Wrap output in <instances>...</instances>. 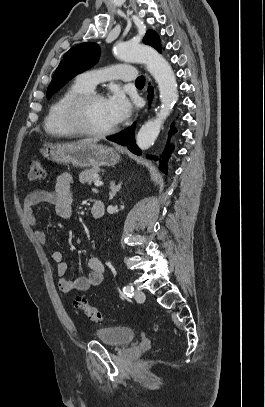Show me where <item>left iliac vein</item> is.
<instances>
[{
  "mask_svg": "<svg viewBox=\"0 0 265 407\" xmlns=\"http://www.w3.org/2000/svg\"><path fill=\"white\" fill-rule=\"evenodd\" d=\"M134 298L138 302H143L145 300V294L142 290L137 289L135 291Z\"/></svg>",
  "mask_w": 265,
  "mask_h": 407,
  "instance_id": "left-iliac-vein-1",
  "label": "left iliac vein"
}]
</instances>
